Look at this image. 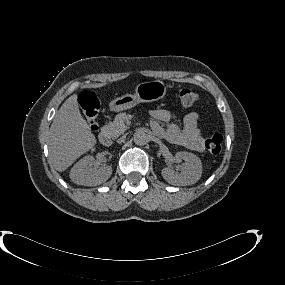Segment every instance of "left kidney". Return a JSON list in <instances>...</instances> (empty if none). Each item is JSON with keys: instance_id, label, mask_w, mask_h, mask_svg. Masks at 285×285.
<instances>
[{"instance_id": "obj_1", "label": "left kidney", "mask_w": 285, "mask_h": 285, "mask_svg": "<svg viewBox=\"0 0 285 285\" xmlns=\"http://www.w3.org/2000/svg\"><path fill=\"white\" fill-rule=\"evenodd\" d=\"M178 161H184L181 172H175L172 168L162 170L163 178L172 185L186 186L196 183L202 174V163L199 157L190 152L180 151L175 155Z\"/></svg>"}]
</instances>
